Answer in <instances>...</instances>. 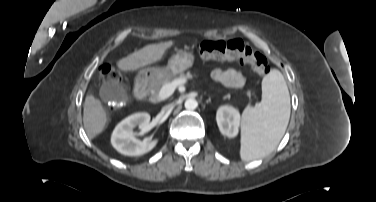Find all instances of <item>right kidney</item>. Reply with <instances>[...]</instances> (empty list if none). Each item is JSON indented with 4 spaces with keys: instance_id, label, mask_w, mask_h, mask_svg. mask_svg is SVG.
<instances>
[{
    "instance_id": "right-kidney-1",
    "label": "right kidney",
    "mask_w": 376,
    "mask_h": 202,
    "mask_svg": "<svg viewBox=\"0 0 376 202\" xmlns=\"http://www.w3.org/2000/svg\"><path fill=\"white\" fill-rule=\"evenodd\" d=\"M150 122V115L146 112L134 113L123 119L115 127L112 136V146L121 154L127 156H141L151 151L158 140H138L134 137L133 129L139 127L145 128Z\"/></svg>"
}]
</instances>
